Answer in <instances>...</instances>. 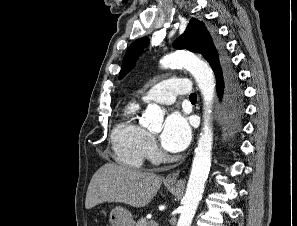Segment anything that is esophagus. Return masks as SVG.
<instances>
[{
  "label": "esophagus",
  "mask_w": 297,
  "mask_h": 226,
  "mask_svg": "<svg viewBox=\"0 0 297 226\" xmlns=\"http://www.w3.org/2000/svg\"><path fill=\"white\" fill-rule=\"evenodd\" d=\"M179 174H180V170H177V171H175V172L167 175L166 181H168V182H176L178 180Z\"/></svg>",
  "instance_id": "1"
}]
</instances>
